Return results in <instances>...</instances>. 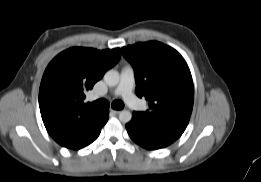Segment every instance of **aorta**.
Listing matches in <instances>:
<instances>
[{
  "label": "aorta",
  "instance_id": "762f6f07",
  "mask_svg": "<svg viewBox=\"0 0 261 182\" xmlns=\"http://www.w3.org/2000/svg\"><path fill=\"white\" fill-rule=\"evenodd\" d=\"M119 72L116 70H108L104 75V81L109 86H116L119 83ZM132 118V113L128 110H122L119 113V120L122 123H128Z\"/></svg>",
  "mask_w": 261,
  "mask_h": 182
}]
</instances>
